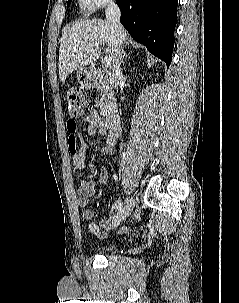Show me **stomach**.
Segmentation results:
<instances>
[{"instance_id":"obj_1","label":"stomach","mask_w":239,"mask_h":303,"mask_svg":"<svg viewBox=\"0 0 239 303\" xmlns=\"http://www.w3.org/2000/svg\"><path fill=\"white\" fill-rule=\"evenodd\" d=\"M77 80L84 87H90L94 83L91 72L86 68L79 69L77 73Z\"/></svg>"}]
</instances>
